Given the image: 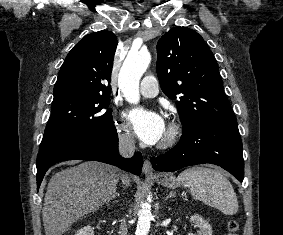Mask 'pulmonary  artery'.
<instances>
[{"mask_svg":"<svg viewBox=\"0 0 283 235\" xmlns=\"http://www.w3.org/2000/svg\"><path fill=\"white\" fill-rule=\"evenodd\" d=\"M139 91L144 97H155L159 92L156 78L152 75L145 76L140 83Z\"/></svg>","mask_w":283,"mask_h":235,"instance_id":"obj_1","label":"pulmonary artery"}]
</instances>
